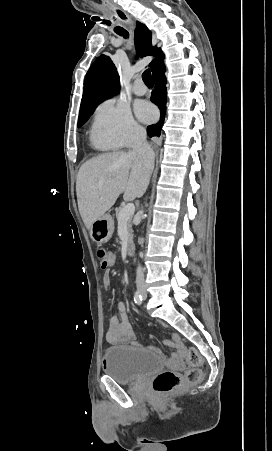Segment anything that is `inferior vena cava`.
Masks as SVG:
<instances>
[{"mask_svg": "<svg viewBox=\"0 0 272 451\" xmlns=\"http://www.w3.org/2000/svg\"><path fill=\"white\" fill-rule=\"evenodd\" d=\"M131 154L138 156V158L144 162L146 168H153L155 154L146 142L145 130H139L135 138H133ZM136 285L137 287H144L145 285V277L141 265H138L137 267Z\"/></svg>", "mask_w": 272, "mask_h": 451, "instance_id": "obj_1", "label": "inferior vena cava"}]
</instances>
